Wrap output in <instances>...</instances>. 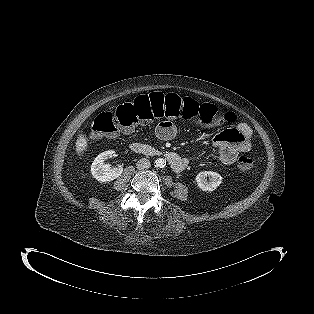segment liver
Instances as JSON below:
<instances>
[{
    "mask_svg": "<svg viewBox=\"0 0 314 314\" xmlns=\"http://www.w3.org/2000/svg\"><path fill=\"white\" fill-rule=\"evenodd\" d=\"M88 148V139L85 135L80 134L76 141V152L81 155Z\"/></svg>",
    "mask_w": 314,
    "mask_h": 314,
    "instance_id": "1",
    "label": "liver"
}]
</instances>
